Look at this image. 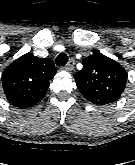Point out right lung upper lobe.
Returning <instances> with one entry per match:
<instances>
[{
    "label": "right lung upper lobe",
    "instance_id": "obj_1",
    "mask_svg": "<svg viewBox=\"0 0 135 165\" xmlns=\"http://www.w3.org/2000/svg\"><path fill=\"white\" fill-rule=\"evenodd\" d=\"M56 73L51 59H41L27 53L13 61L2 73L5 95L19 108L37 104L45 95L49 80Z\"/></svg>",
    "mask_w": 135,
    "mask_h": 165
}]
</instances>
